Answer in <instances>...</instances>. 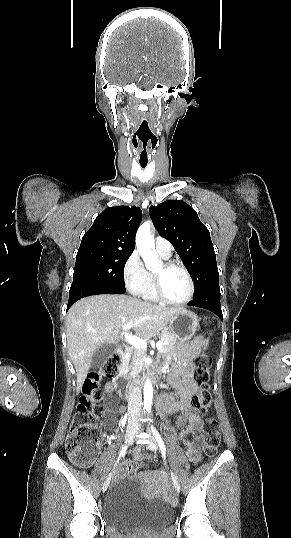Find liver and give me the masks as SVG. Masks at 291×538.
<instances>
[{
	"label": "liver",
	"mask_w": 291,
	"mask_h": 538,
	"mask_svg": "<svg viewBox=\"0 0 291 538\" xmlns=\"http://www.w3.org/2000/svg\"><path fill=\"white\" fill-rule=\"evenodd\" d=\"M182 310L117 294L90 296L76 302L67 313L66 334L68 353L76 370L77 393L82 389L95 351L104 344H118L125 324L136 323L135 334L148 338L164 329Z\"/></svg>",
	"instance_id": "obj_1"
}]
</instances>
